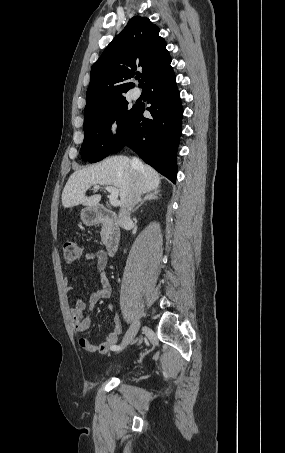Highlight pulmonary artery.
Returning <instances> with one entry per match:
<instances>
[{
  "instance_id": "pulmonary-artery-1",
  "label": "pulmonary artery",
  "mask_w": 285,
  "mask_h": 453,
  "mask_svg": "<svg viewBox=\"0 0 285 453\" xmlns=\"http://www.w3.org/2000/svg\"><path fill=\"white\" fill-rule=\"evenodd\" d=\"M131 96L133 99H138L141 96V91L138 88H135L131 92Z\"/></svg>"
}]
</instances>
